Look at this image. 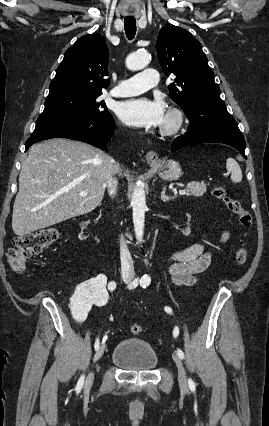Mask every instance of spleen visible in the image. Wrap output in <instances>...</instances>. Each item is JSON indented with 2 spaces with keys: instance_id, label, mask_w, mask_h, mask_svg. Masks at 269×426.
<instances>
[{
  "instance_id": "1",
  "label": "spleen",
  "mask_w": 269,
  "mask_h": 426,
  "mask_svg": "<svg viewBox=\"0 0 269 426\" xmlns=\"http://www.w3.org/2000/svg\"><path fill=\"white\" fill-rule=\"evenodd\" d=\"M226 168L231 174L230 178L233 183H240L242 181V171L235 159L228 158L226 161Z\"/></svg>"
}]
</instances>
